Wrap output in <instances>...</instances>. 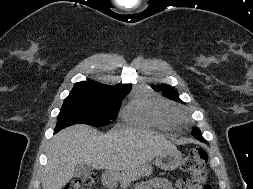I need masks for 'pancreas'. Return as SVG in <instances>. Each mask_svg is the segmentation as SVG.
Wrapping results in <instances>:
<instances>
[{
    "label": "pancreas",
    "instance_id": "obj_1",
    "mask_svg": "<svg viewBox=\"0 0 253 189\" xmlns=\"http://www.w3.org/2000/svg\"><path fill=\"white\" fill-rule=\"evenodd\" d=\"M152 172L151 166H138L125 169L120 176V184L123 187L128 186L132 181L137 180L142 176H149Z\"/></svg>",
    "mask_w": 253,
    "mask_h": 189
}]
</instances>
